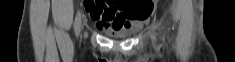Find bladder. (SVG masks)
I'll list each match as a JSON object with an SVG mask.
<instances>
[{"instance_id":"31cf9c89","label":"bladder","mask_w":235,"mask_h":62,"mask_svg":"<svg viewBox=\"0 0 235 62\" xmlns=\"http://www.w3.org/2000/svg\"><path fill=\"white\" fill-rule=\"evenodd\" d=\"M111 35L120 37V36H124L125 34L119 31H114V32H111Z\"/></svg>"}]
</instances>
